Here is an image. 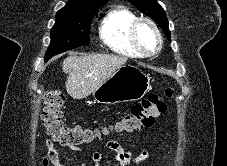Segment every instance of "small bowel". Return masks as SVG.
Masks as SVG:
<instances>
[{
  "mask_svg": "<svg viewBox=\"0 0 227 166\" xmlns=\"http://www.w3.org/2000/svg\"><path fill=\"white\" fill-rule=\"evenodd\" d=\"M106 146L113 152V160L120 166H139V164L148 158L147 151H143L140 155L132 157L131 152L122 148L121 145L113 139L107 140ZM46 147L47 149L42 160V166H65L61 163L59 153L54 147V142L51 139L47 140ZM72 150H74L81 157L79 166H87V161L81 154L79 148L72 147ZM91 159L95 163V166H98V164L102 161V155L100 152L94 151L92 152Z\"/></svg>",
  "mask_w": 227,
  "mask_h": 166,
  "instance_id": "small-bowel-1",
  "label": "small bowel"
}]
</instances>
